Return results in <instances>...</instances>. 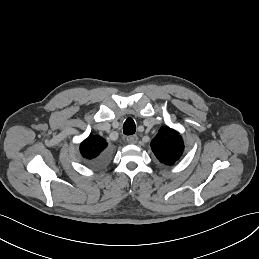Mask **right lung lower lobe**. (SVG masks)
<instances>
[{"label": "right lung lower lobe", "mask_w": 259, "mask_h": 259, "mask_svg": "<svg viewBox=\"0 0 259 259\" xmlns=\"http://www.w3.org/2000/svg\"><path fill=\"white\" fill-rule=\"evenodd\" d=\"M106 161V158H101V159H99L97 162H96V164H102V163H104Z\"/></svg>", "instance_id": "98d812e1"}]
</instances>
